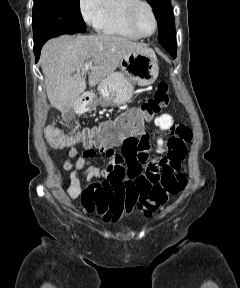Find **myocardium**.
<instances>
[{"label":"myocardium","instance_id":"1","mask_svg":"<svg viewBox=\"0 0 240 288\" xmlns=\"http://www.w3.org/2000/svg\"><path fill=\"white\" fill-rule=\"evenodd\" d=\"M141 6H145L149 9V11L153 17L154 23H155L154 31L149 35H144V34L140 33L138 31L136 25H135V16H136L138 9ZM126 22H127L128 27L140 38H150V37L154 36L157 33L158 28H159V21H158L156 12H155L153 6L146 0H132V2L127 5Z\"/></svg>","mask_w":240,"mask_h":288}]
</instances>
